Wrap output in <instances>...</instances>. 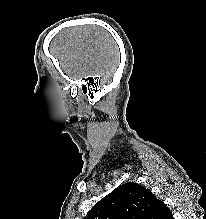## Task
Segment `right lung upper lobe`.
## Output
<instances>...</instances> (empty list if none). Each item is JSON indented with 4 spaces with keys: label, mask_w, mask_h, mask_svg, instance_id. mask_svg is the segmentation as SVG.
Segmentation results:
<instances>
[{
    "label": "right lung upper lobe",
    "mask_w": 206,
    "mask_h": 219,
    "mask_svg": "<svg viewBox=\"0 0 206 219\" xmlns=\"http://www.w3.org/2000/svg\"><path fill=\"white\" fill-rule=\"evenodd\" d=\"M86 219H173V215L148 189L128 182L96 203Z\"/></svg>",
    "instance_id": "cb5924a9"
}]
</instances>
